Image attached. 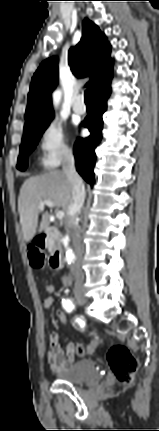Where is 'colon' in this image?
<instances>
[{
	"label": "colon",
	"mask_w": 159,
	"mask_h": 431,
	"mask_svg": "<svg viewBox=\"0 0 159 431\" xmlns=\"http://www.w3.org/2000/svg\"><path fill=\"white\" fill-rule=\"evenodd\" d=\"M42 248L43 245L40 241L30 247L29 259L31 266L34 268H42L44 265L45 257ZM55 305L56 302L53 299L46 302L47 308H53ZM55 315L58 317V324L63 328H68L70 325L69 315L61 309H58ZM100 343L101 338L95 336L90 337V342L77 341L78 359L89 358L97 350V344ZM107 361L114 377L119 382L125 385H130L133 382L138 368V361L126 346L120 344L111 346L107 353Z\"/></svg>",
	"instance_id": "obj_1"
}]
</instances>
